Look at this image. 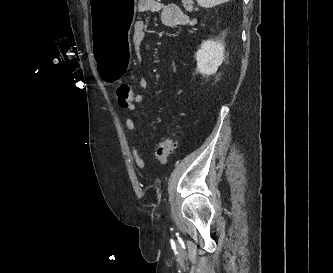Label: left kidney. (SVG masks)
<instances>
[{"label": "left kidney", "mask_w": 333, "mask_h": 273, "mask_svg": "<svg viewBox=\"0 0 333 273\" xmlns=\"http://www.w3.org/2000/svg\"><path fill=\"white\" fill-rule=\"evenodd\" d=\"M225 45L221 40H207L196 53L197 71L203 76L216 73L224 59Z\"/></svg>", "instance_id": "1"}]
</instances>
